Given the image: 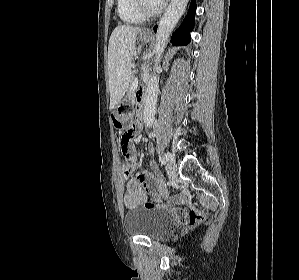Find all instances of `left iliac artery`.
I'll return each mask as SVG.
<instances>
[{
	"instance_id": "1",
	"label": "left iliac artery",
	"mask_w": 299,
	"mask_h": 280,
	"mask_svg": "<svg viewBox=\"0 0 299 280\" xmlns=\"http://www.w3.org/2000/svg\"><path fill=\"white\" fill-rule=\"evenodd\" d=\"M173 159V156H172V154L171 153H165L164 155H163V161H170V160H172Z\"/></svg>"
}]
</instances>
